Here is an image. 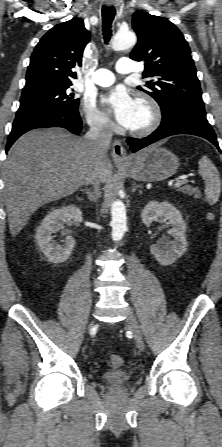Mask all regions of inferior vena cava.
I'll list each match as a JSON object with an SVG mask.
<instances>
[{
  "mask_svg": "<svg viewBox=\"0 0 222 447\" xmlns=\"http://www.w3.org/2000/svg\"><path fill=\"white\" fill-rule=\"evenodd\" d=\"M88 142L90 153L92 155V168L83 176V184H92L98 194L100 180L98 176V166L102 159L107 156L112 140V130L101 121H93L90 124V130L85 135Z\"/></svg>",
  "mask_w": 222,
  "mask_h": 447,
  "instance_id": "obj_1",
  "label": "inferior vena cava"
}]
</instances>
